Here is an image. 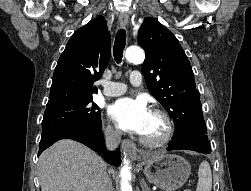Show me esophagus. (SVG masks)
<instances>
[{
  "label": "esophagus",
  "mask_w": 251,
  "mask_h": 191,
  "mask_svg": "<svg viewBox=\"0 0 251 191\" xmlns=\"http://www.w3.org/2000/svg\"><path fill=\"white\" fill-rule=\"evenodd\" d=\"M129 22L127 13H122L119 16V23L122 27L126 26ZM122 149L126 153H130L132 158H135V143L131 139H125L122 141Z\"/></svg>",
  "instance_id": "esophagus-1"
}]
</instances>
